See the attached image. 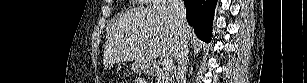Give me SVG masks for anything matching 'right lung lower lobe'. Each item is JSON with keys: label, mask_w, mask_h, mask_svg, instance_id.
<instances>
[{"label": "right lung lower lobe", "mask_w": 307, "mask_h": 83, "mask_svg": "<svg viewBox=\"0 0 307 83\" xmlns=\"http://www.w3.org/2000/svg\"><path fill=\"white\" fill-rule=\"evenodd\" d=\"M184 3L187 21L194 28L198 38L210 41L217 0H184Z\"/></svg>", "instance_id": "98d812e1"}]
</instances>
